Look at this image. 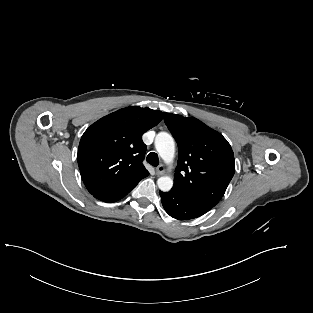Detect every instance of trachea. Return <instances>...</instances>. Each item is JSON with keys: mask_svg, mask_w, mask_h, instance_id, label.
Masks as SVG:
<instances>
[{"mask_svg": "<svg viewBox=\"0 0 313 313\" xmlns=\"http://www.w3.org/2000/svg\"><path fill=\"white\" fill-rule=\"evenodd\" d=\"M147 162L151 164L152 166H155V167L158 166L159 164L158 155L155 152H150L147 155Z\"/></svg>", "mask_w": 313, "mask_h": 313, "instance_id": "trachea-1", "label": "trachea"}]
</instances>
